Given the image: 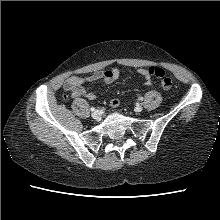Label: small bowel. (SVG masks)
Listing matches in <instances>:
<instances>
[{"instance_id":"small-bowel-1","label":"small bowel","mask_w":220,"mask_h":220,"mask_svg":"<svg viewBox=\"0 0 220 220\" xmlns=\"http://www.w3.org/2000/svg\"><path fill=\"white\" fill-rule=\"evenodd\" d=\"M139 74L143 77L146 84L151 83V76L148 74L146 68L139 69ZM119 77V70L116 68L108 69L104 71H95L87 77H81L77 75H72L68 77L64 82V89L69 91L74 98L85 97L89 100H94L96 95L84 88V83L95 82L99 80H104L107 83H112Z\"/></svg>"}]
</instances>
